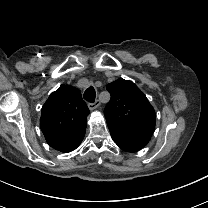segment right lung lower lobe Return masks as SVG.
<instances>
[{"label":"right lung lower lobe","mask_w":208,"mask_h":208,"mask_svg":"<svg viewBox=\"0 0 208 208\" xmlns=\"http://www.w3.org/2000/svg\"><path fill=\"white\" fill-rule=\"evenodd\" d=\"M85 135V132L79 134L78 136L74 137L73 139L63 142V143H59L57 145L52 146L54 149L61 151V152H70L74 149H76L81 141L83 140Z\"/></svg>","instance_id":"right-lung-lower-lobe-1"}]
</instances>
